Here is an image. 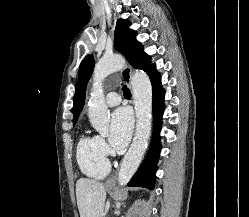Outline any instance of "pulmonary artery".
<instances>
[{
  "mask_svg": "<svg viewBox=\"0 0 249 217\" xmlns=\"http://www.w3.org/2000/svg\"><path fill=\"white\" fill-rule=\"evenodd\" d=\"M120 95L117 92H110L106 96V102L109 106H116L120 103Z\"/></svg>",
  "mask_w": 249,
  "mask_h": 217,
  "instance_id": "obj_1",
  "label": "pulmonary artery"
}]
</instances>
